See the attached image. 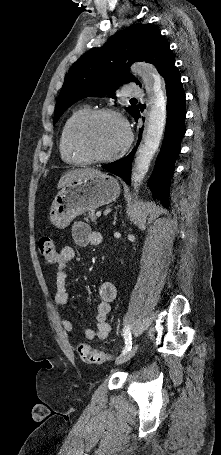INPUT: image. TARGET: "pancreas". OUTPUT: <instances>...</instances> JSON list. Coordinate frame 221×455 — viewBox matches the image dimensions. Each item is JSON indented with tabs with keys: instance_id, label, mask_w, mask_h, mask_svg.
Segmentation results:
<instances>
[{
	"instance_id": "obj_1",
	"label": "pancreas",
	"mask_w": 221,
	"mask_h": 455,
	"mask_svg": "<svg viewBox=\"0 0 221 455\" xmlns=\"http://www.w3.org/2000/svg\"><path fill=\"white\" fill-rule=\"evenodd\" d=\"M88 219H90L91 222H96V216L94 211L89 212L88 217H85L86 221H88Z\"/></svg>"
}]
</instances>
